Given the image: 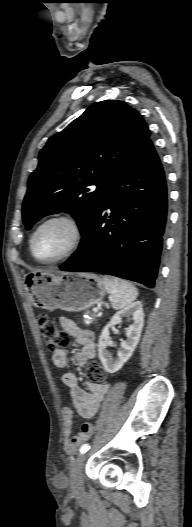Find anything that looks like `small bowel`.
Masks as SVG:
<instances>
[{
	"instance_id": "small-bowel-1",
	"label": "small bowel",
	"mask_w": 192,
	"mask_h": 527,
	"mask_svg": "<svg viewBox=\"0 0 192 527\" xmlns=\"http://www.w3.org/2000/svg\"><path fill=\"white\" fill-rule=\"evenodd\" d=\"M60 324L81 346L74 357L78 366H85L96 354L94 333L91 330L79 327L73 320L67 317H61ZM52 360L56 367L65 368L68 363L67 351L64 349L53 351ZM61 380L68 387L73 404V409L66 407L62 410L64 420V450L68 453H73L93 432V425L91 423H84L81 427V432L75 436L71 435L74 412L83 418H92L100 408L110 385H96L87 382L86 389H84L80 386L78 377L73 372L64 373Z\"/></svg>"
}]
</instances>
